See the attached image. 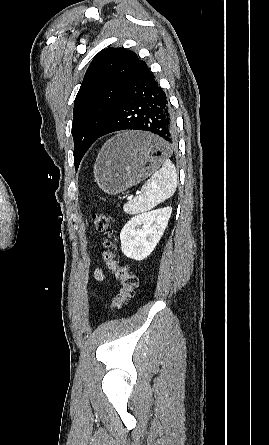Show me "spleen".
Here are the masks:
<instances>
[{
  "label": "spleen",
  "instance_id": "1",
  "mask_svg": "<svg viewBox=\"0 0 269 445\" xmlns=\"http://www.w3.org/2000/svg\"><path fill=\"white\" fill-rule=\"evenodd\" d=\"M177 187V172L169 159H164L162 167L154 172L142 186L141 193L123 206L128 214L146 212L173 196Z\"/></svg>",
  "mask_w": 269,
  "mask_h": 445
}]
</instances>
